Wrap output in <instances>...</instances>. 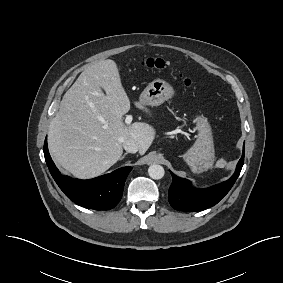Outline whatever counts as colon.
I'll use <instances>...</instances> for the list:
<instances>
[{"mask_svg": "<svg viewBox=\"0 0 283 283\" xmlns=\"http://www.w3.org/2000/svg\"><path fill=\"white\" fill-rule=\"evenodd\" d=\"M142 67L149 70H158L164 71L169 69V65L162 59L159 58H148L142 62ZM184 84L186 86L191 85V81L189 79H184Z\"/></svg>", "mask_w": 283, "mask_h": 283, "instance_id": "colon-1", "label": "colon"}]
</instances>
